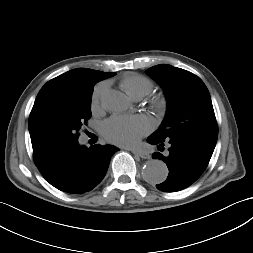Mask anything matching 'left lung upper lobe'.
<instances>
[{
	"label": "left lung upper lobe",
	"mask_w": 253,
	"mask_h": 253,
	"mask_svg": "<svg viewBox=\"0 0 253 253\" xmlns=\"http://www.w3.org/2000/svg\"><path fill=\"white\" fill-rule=\"evenodd\" d=\"M148 74L163 87L168 101L165 119L150 137L164 141L188 135L217 141L210 94L198 76L165 64L150 68Z\"/></svg>",
	"instance_id": "obj_1"
}]
</instances>
